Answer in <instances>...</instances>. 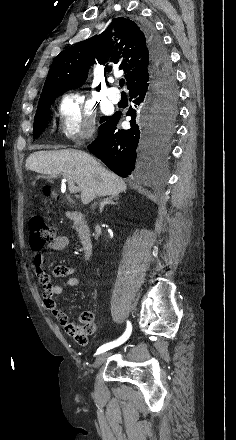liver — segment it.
<instances>
[{"label": "liver", "mask_w": 236, "mask_h": 440, "mask_svg": "<svg viewBox=\"0 0 236 440\" xmlns=\"http://www.w3.org/2000/svg\"><path fill=\"white\" fill-rule=\"evenodd\" d=\"M27 170L53 177L73 180L81 191V201L87 205L97 196H114L125 192L127 185L116 174L104 168L83 151H37L26 160Z\"/></svg>", "instance_id": "6515ba94"}]
</instances>
